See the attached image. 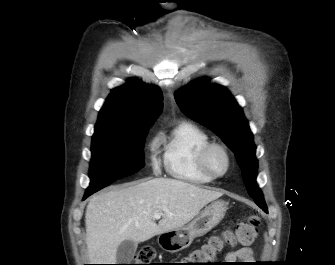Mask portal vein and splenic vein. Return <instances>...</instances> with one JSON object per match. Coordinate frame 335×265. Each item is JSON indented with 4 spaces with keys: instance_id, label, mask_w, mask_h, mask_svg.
Listing matches in <instances>:
<instances>
[{
    "instance_id": "portal-vein-and-splenic-vein-1",
    "label": "portal vein and splenic vein",
    "mask_w": 335,
    "mask_h": 265,
    "mask_svg": "<svg viewBox=\"0 0 335 265\" xmlns=\"http://www.w3.org/2000/svg\"><path fill=\"white\" fill-rule=\"evenodd\" d=\"M161 215H162L161 213H155L154 218L158 220L161 218Z\"/></svg>"
}]
</instances>
